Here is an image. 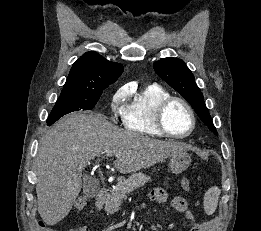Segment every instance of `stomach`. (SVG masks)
<instances>
[{
    "label": "stomach",
    "instance_id": "stomach-1",
    "mask_svg": "<svg viewBox=\"0 0 261 231\" xmlns=\"http://www.w3.org/2000/svg\"><path fill=\"white\" fill-rule=\"evenodd\" d=\"M191 156L188 152L183 151L173 154L170 157L168 164L169 170L174 174H179L185 171L191 164Z\"/></svg>",
    "mask_w": 261,
    "mask_h": 231
}]
</instances>
